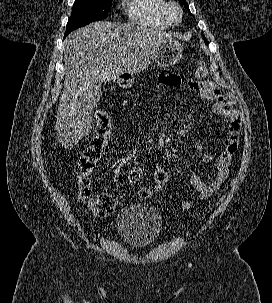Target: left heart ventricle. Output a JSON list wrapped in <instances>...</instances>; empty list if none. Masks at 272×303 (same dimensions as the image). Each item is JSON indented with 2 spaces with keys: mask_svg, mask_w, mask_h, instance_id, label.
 <instances>
[{
  "mask_svg": "<svg viewBox=\"0 0 272 303\" xmlns=\"http://www.w3.org/2000/svg\"><path fill=\"white\" fill-rule=\"evenodd\" d=\"M171 17L173 18V19H176V13L174 12V11H171Z\"/></svg>",
  "mask_w": 272,
  "mask_h": 303,
  "instance_id": "left-heart-ventricle-1",
  "label": "left heart ventricle"
}]
</instances>
